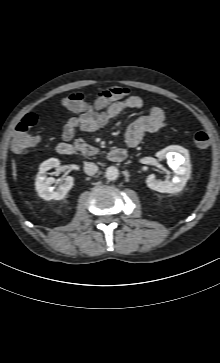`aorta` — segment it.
I'll list each match as a JSON object with an SVG mask.
<instances>
[{
  "mask_svg": "<svg viewBox=\"0 0 220 363\" xmlns=\"http://www.w3.org/2000/svg\"><path fill=\"white\" fill-rule=\"evenodd\" d=\"M119 176V170L115 166H110L105 171V177L110 180H116Z\"/></svg>",
  "mask_w": 220,
  "mask_h": 363,
  "instance_id": "aorta-1",
  "label": "aorta"
}]
</instances>
